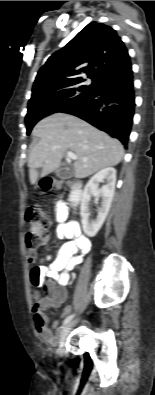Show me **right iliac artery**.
Instances as JSON below:
<instances>
[{
	"label": "right iliac artery",
	"instance_id": "1",
	"mask_svg": "<svg viewBox=\"0 0 155 395\" xmlns=\"http://www.w3.org/2000/svg\"><path fill=\"white\" fill-rule=\"evenodd\" d=\"M73 317H74V314L69 315V316L64 320L63 324H64V325L68 324V323L72 320Z\"/></svg>",
	"mask_w": 155,
	"mask_h": 395
}]
</instances>
